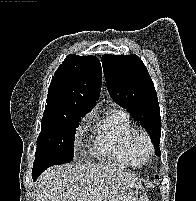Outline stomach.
<instances>
[{
	"mask_svg": "<svg viewBox=\"0 0 196 201\" xmlns=\"http://www.w3.org/2000/svg\"><path fill=\"white\" fill-rule=\"evenodd\" d=\"M121 201H138L137 193L133 189H127L126 194Z\"/></svg>",
	"mask_w": 196,
	"mask_h": 201,
	"instance_id": "obj_1",
	"label": "stomach"
}]
</instances>
